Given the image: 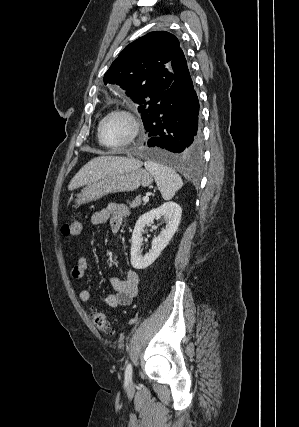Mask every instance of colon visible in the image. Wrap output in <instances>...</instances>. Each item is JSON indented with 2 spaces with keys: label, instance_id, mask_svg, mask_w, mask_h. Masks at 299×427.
Here are the masks:
<instances>
[{
  "label": "colon",
  "instance_id": "5ec220e1",
  "mask_svg": "<svg viewBox=\"0 0 299 427\" xmlns=\"http://www.w3.org/2000/svg\"><path fill=\"white\" fill-rule=\"evenodd\" d=\"M61 231L65 236H79L82 233V222L78 218L73 219L69 223L64 224L61 228ZM91 318L96 328L102 334L105 336L112 335L110 322L104 313L98 311L92 312Z\"/></svg>",
  "mask_w": 299,
  "mask_h": 427
}]
</instances>
